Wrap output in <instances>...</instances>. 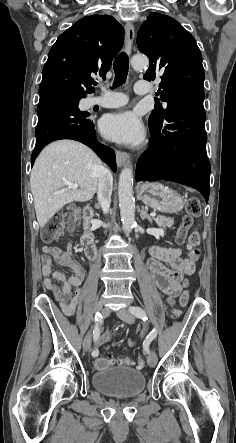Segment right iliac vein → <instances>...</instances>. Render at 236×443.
I'll list each match as a JSON object with an SVG mask.
<instances>
[{"label": "right iliac vein", "instance_id": "obj_1", "mask_svg": "<svg viewBox=\"0 0 236 443\" xmlns=\"http://www.w3.org/2000/svg\"><path fill=\"white\" fill-rule=\"evenodd\" d=\"M110 314V308L109 307H105L102 310V316L103 317H107ZM91 342H92V334L91 331H88V333L86 334L84 340H83V349L85 351H88L91 347Z\"/></svg>", "mask_w": 236, "mask_h": 443}]
</instances>
